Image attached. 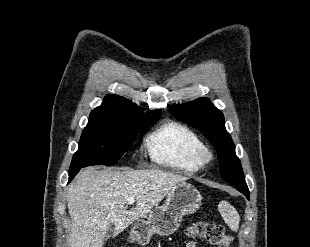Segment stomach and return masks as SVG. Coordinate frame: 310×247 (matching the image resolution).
<instances>
[{"instance_id":"0dacf381","label":"stomach","mask_w":310,"mask_h":247,"mask_svg":"<svg viewBox=\"0 0 310 247\" xmlns=\"http://www.w3.org/2000/svg\"><path fill=\"white\" fill-rule=\"evenodd\" d=\"M202 196L190 183L181 182L167 194L163 205L156 206L147 218L134 222L131 239L141 246L149 243L152 234L169 236L177 231L186 215L196 212L201 206Z\"/></svg>"}]
</instances>
